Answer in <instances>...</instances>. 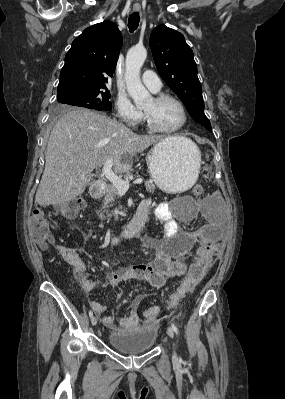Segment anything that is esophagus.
Returning a JSON list of instances; mask_svg holds the SVG:
<instances>
[{
  "mask_svg": "<svg viewBox=\"0 0 285 399\" xmlns=\"http://www.w3.org/2000/svg\"><path fill=\"white\" fill-rule=\"evenodd\" d=\"M133 9H134V11L138 12L140 10V7L134 6Z\"/></svg>",
  "mask_w": 285,
  "mask_h": 399,
  "instance_id": "esophagus-1",
  "label": "esophagus"
}]
</instances>
